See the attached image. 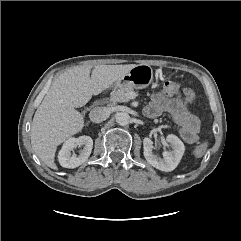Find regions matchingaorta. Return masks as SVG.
<instances>
[{
  "label": "aorta",
  "mask_w": 241,
  "mask_h": 241,
  "mask_svg": "<svg viewBox=\"0 0 241 241\" xmlns=\"http://www.w3.org/2000/svg\"><path fill=\"white\" fill-rule=\"evenodd\" d=\"M116 122L121 126L128 125L130 123V115L126 112L117 113Z\"/></svg>",
  "instance_id": "1"
}]
</instances>
